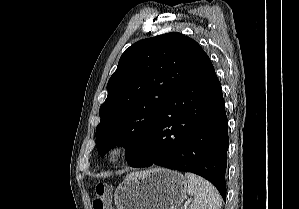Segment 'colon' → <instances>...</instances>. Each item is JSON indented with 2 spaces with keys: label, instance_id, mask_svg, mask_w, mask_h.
<instances>
[{
  "label": "colon",
  "instance_id": "obj_1",
  "mask_svg": "<svg viewBox=\"0 0 299 209\" xmlns=\"http://www.w3.org/2000/svg\"><path fill=\"white\" fill-rule=\"evenodd\" d=\"M111 186L98 184L93 192V209H112L110 206Z\"/></svg>",
  "mask_w": 299,
  "mask_h": 209
}]
</instances>
